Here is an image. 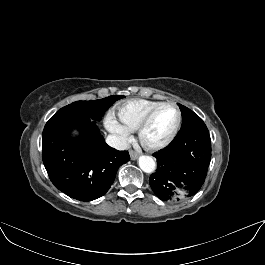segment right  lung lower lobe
<instances>
[{
	"label": "right lung lower lobe",
	"mask_w": 265,
	"mask_h": 265,
	"mask_svg": "<svg viewBox=\"0 0 265 265\" xmlns=\"http://www.w3.org/2000/svg\"><path fill=\"white\" fill-rule=\"evenodd\" d=\"M80 131L70 137L71 129ZM42 158L54 186L71 198L91 201L111 187L127 151L111 148L88 117L52 116L42 134Z\"/></svg>",
	"instance_id": "98d812e1"
}]
</instances>
